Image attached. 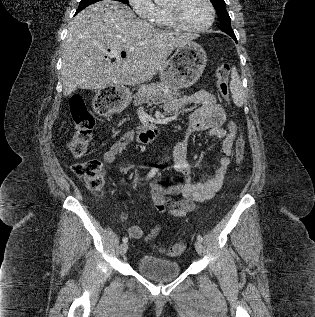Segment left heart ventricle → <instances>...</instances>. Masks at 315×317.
Here are the masks:
<instances>
[{
  "mask_svg": "<svg viewBox=\"0 0 315 317\" xmlns=\"http://www.w3.org/2000/svg\"><path fill=\"white\" fill-rule=\"evenodd\" d=\"M168 0L166 5H170ZM180 20L187 26L200 27L209 19V9L204 0H181L177 8Z\"/></svg>",
  "mask_w": 315,
  "mask_h": 317,
  "instance_id": "b2bd125f",
  "label": "left heart ventricle"
}]
</instances>
